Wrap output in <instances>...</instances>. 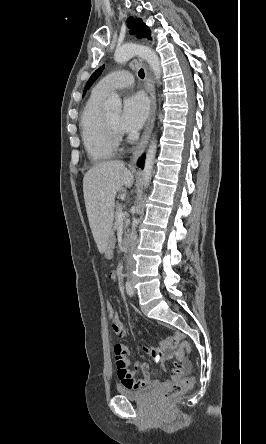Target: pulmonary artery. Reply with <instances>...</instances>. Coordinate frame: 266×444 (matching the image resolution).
<instances>
[{"label":"pulmonary artery","mask_w":266,"mask_h":444,"mask_svg":"<svg viewBox=\"0 0 266 444\" xmlns=\"http://www.w3.org/2000/svg\"><path fill=\"white\" fill-rule=\"evenodd\" d=\"M133 83V76L126 70L114 71L103 77L94 88V92L108 95L110 92L129 87Z\"/></svg>","instance_id":"1"}]
</instances>
